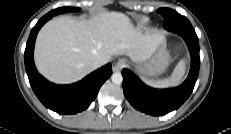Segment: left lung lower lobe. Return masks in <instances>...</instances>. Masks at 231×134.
<instances>
[{"label":"left lung lower lobe","mask_w":231,"mask_h":134,"mask_svg":"<svg viewBox=\"0 0 231 134\" xmlns=\"http://www.w3.org/2000/svg\"><path fill=\"white\" fill-rule=\"evenodd\" d=\"M178 16L177 12H175ZM180 34L192 53V65L185 82L175 89L159 90L145 85L133 72L123 69L124 95L136 109L150 115H165L179 108L190 96L199 73V41L190 22L178 20L170 29Z\"/></svg>","instance_id":"1"}]
</instances>
